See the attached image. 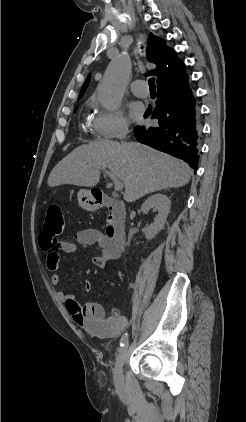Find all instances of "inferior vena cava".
Wrapping results in <instances>:
<instances>
[{
    "mask_svg": "<svg viewBox=\"0 0 246 422\" xmlns=\"http://www.w3.org/2000/svg\"><path fill=\"white\" fill-rule=\"evenodd\" d=\"M127 133H128V130H127V129L123 130V131L119 134V138H120V139H124V138L126 137Z\"/></svg>",
    "mask_w": 246,
    "mask_h": 422,
    "instance_id": "inferior-vena-cava-1",
    "label": "inferior vena cava"
}]
</instances>
